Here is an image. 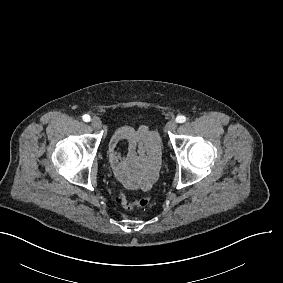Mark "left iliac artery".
<instances>
[{
    "label": "left iliac artery",
    "instance_id": "obj_1",
    "mask_svg": "<svg viewBox=\"0 0 283 283\" xmlns=\"http://www.w3.org/2000/svg\"><path fill=\"white\" fill-rule=\"evenodd\" d=\"M186 121V117L185 116H177V118H176V122H178V123H183V122H185Z\"/></svg>",
    "mask_w": 283,
    "mask_h": 283
}]
</instances>
